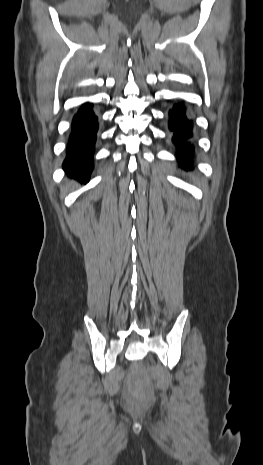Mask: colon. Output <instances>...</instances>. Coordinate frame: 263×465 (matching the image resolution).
<instances>
[{
	"instance_id": "5ec220e1",
	"label": "colon",
	"mask_w": 263,
	"mask_h": 465,
	"mask_svg": "<svg viewBox=\"0 0 263 465\" xmlns=\"http://www.w3.org/2000/svg\"><path fill=\"white\" fill-rule=\"evenodd\" d=\"M133 386H138V379L134 378L132 381Z\"/></svg>"
}]
</instances>
